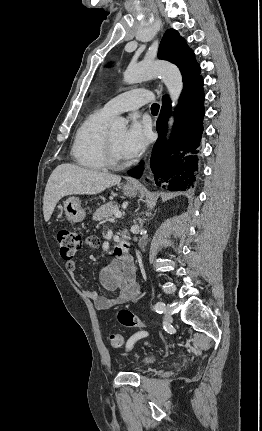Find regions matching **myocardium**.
I'll return each mask as SVG.
<instances>
[{
    "mask_svg": "<svg viewBox=\"0 0 262 431\" xmlns=\"http://www.w3.org/2000/svg\"><path fill=\"white\" fill-rule=\"evenodd\" d=\"M105 158L107 165L112 168H124L129 164L128 161L122 160L117 156L109 132H107L105 138Z\"/></svg>",
    "mask_w": 262,
    "mask_h": 431,
    "instance_id": "1",
    "label": "myocardium"
}]
</instances>
